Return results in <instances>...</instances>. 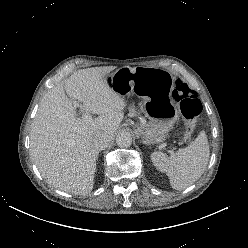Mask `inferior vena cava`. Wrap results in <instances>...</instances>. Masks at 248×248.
Here are the masks:
<instances>
[{
	"instance_id": "inferior-vena-cava-1",
	"label": "inferior vena cava",
	"mask_w": 248,
	"mask_h": 248,
	"mask_svg": "<svg viewBox=\"0 0 248 248\" xmlns=\"http://www.w3.org/2000/svg\"><path fill=\"white\" fill-rule=\"evenodd\" d=\"M110 141H111V138L109 135L98 134L93 138L92 144L95 149H97L98 151H101V150H104L108 146Z\"/></svg>"
}]
</instances>
